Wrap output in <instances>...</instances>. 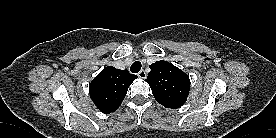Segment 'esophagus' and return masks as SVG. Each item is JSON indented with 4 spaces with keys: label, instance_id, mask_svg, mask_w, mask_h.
I'll list each match as a JSON object with an SVG mask.
<instances>
[{
    "label": "esophagus",
    "instance_id": "obj_1",
    "mask_svg": "<svg viewBox=\"0 0 276 138\" xmlns=\"http://www.w3.org/2000/svg\"><path fill=\"white\" fill-rule=\"evenodd\" d=\"M146 72L144 70H141L139 73H138V77L142 78V79H145L146 78Z\"/></svg>",
    "mask_w": 276,
    "mask_h": 138
}]
</instances>
